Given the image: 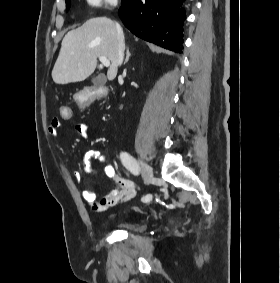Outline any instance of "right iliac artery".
<instances>
[{
	"mask_svg": "<svg viewBox=\"0 0 280 283\" xmlns=\"http://www.w3.org/2000/svg\"><path fill=\"white\" fill-rule=\"evenodd\" d=\"M120 159L123 165L134 175H138L140 172L139 166L135 159L127 152L120 153ZM151 200V195L147 194L141 198L143 203H148Z\"/></svg>",
	"mask_w": 280,
	"mask_h": 283,
	"instance_id": "82829eb1",
	"label": "right iliac artery"
}]
</instances>
